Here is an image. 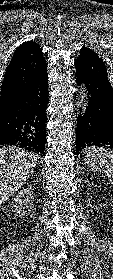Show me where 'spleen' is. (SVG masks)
<instances>
[{
	"label": "spleen",
	"instance_id": "obj_1",
	"mask_svg": "<svg viewBox=\"0 0 113 279\" xmlns=\"http://www.w3.org/2000/svg\"><path fill=\"white\" fill-rule=\"evenodd\" d=\"M85 162L93 171L103 173L113 186V150L91 146L85 151Z\"/></svg>",
	"mask_w": 113,
	"mask_h": 279
}]
</instances>
